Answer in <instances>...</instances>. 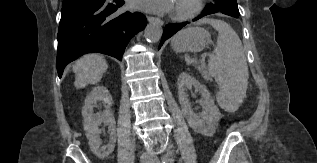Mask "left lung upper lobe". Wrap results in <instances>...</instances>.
<instances>
[{
  "label": "left lung upper lobe",
  "mask_w": 317,
  "mask_h": 163,
  "mask_svg": "<svg viewBox=\"0 0 317 163\" xmlns=\"http://www.w3.org/2000/svg\"><path fill=\"white\" fill-rule=\"evenodd\" d=\"M210 12H222L227 15L238 16L239 10L236 0H215V4H208L205 8Z\"/></svg>",
  "instance_id": "left-lung-upper-lobe-1"
}]
</instances>
